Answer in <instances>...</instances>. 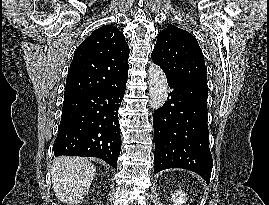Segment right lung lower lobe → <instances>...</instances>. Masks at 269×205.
I'll return each mask as SVG.
<instances>
[{
  "label": "right lung lower lobe",
  "mask_w": 269,
  "mask_h": 205,
  "mask_svg": "<svg viewBox=\"0 0 269 205\" xmlns=\"http://www.w3.org/2000/svg\"><path fill=\"white\" fill-rule=\"evenodd\" d=\"M128 72L119 85L64 97L54 155L97 157L117 168L121 150L118 109Z\"/></svg>",
  "instance_id": "obj_1"
}]
</instances>
